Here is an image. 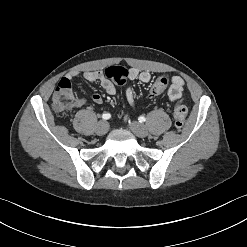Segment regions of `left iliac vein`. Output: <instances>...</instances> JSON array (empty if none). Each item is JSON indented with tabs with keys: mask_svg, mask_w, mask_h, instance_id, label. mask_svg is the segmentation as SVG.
<instances>
[{
	"mask_svg": "<svg viewBox=\"0 0 247 247\" xmlns=\"http://www.w3.org/2000/svg\"><path fill=\"white\" fill-rule=\"evenodd\" d=\"M129 126H130V129L133 131V133L136 134L138 137L143 138V137L148 136V130L145 125L139 122L133 121L129 124Z\"/></svg>",
	"mask_w": 247,
	"mask_h": 247,
	"instance_id": "4c4485c4",
	"label": "left iliac vein"
}]
</instances>
